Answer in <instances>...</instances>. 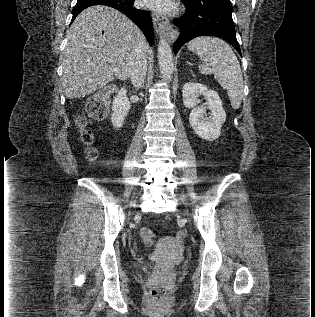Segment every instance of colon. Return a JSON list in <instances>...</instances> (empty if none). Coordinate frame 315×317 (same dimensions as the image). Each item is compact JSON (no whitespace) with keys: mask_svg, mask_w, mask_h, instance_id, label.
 <instances>
[{"mask_svg":"<svg viewBox=\"0 0 315 317\" xmlns=\"http://www.w3.org/2000/svg\"><path fill=\"white\" fill-rule=\"evenodd\" d=\"M88 112L91 116L101 119L106 115L107 105L102 97H93L88 103ZM77 126L79 129L80 141L84 147L85 157L88 161L94 162L97 159L98 152L93 146V135L86 128L85 121L79 117L77 119ZM155 233L148 227H143L140 230V238L146 246L153 244ZM150 296L152 299L160 301L166 296V288L162 283L154 282L150 288Z\"/></svg>","mask_w":315,"mask_h":317,"instance_id":"colon-1","label":"colon"}]
</instances>
